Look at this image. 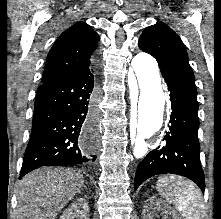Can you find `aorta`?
Instances as JSON below:
<instances>
[{"label": "aorta", "mask_w": 221, "mask_h": 219, "mask_svg": "<svg viewBox=\"0 0 221 219\" xmlns=\"http://www.w3.org/2000/svg\"><path fill=\"white\" fill-rule=\"evenodd\" d=\"M131 66L139 86L132 137L133 154L136 158H142L146 154L145 138L151 137L163 125L166 95L161 85L157 61L151 55L137 54Z\"/></svg>", "instance_id": "762f6f07"}]
</instances>
